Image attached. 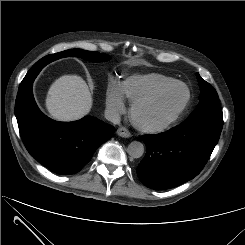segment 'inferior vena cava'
<instances>
[{"instance_id":"inferior-vena-cava-1","label":"inferior vena cava","mask_w":245,"mask_h":245,"mask_svg":"<svg viewBox=\"0 0 245 245\" xmlns=\"http://www.w3.org/2000/svg\"><path fill=\"white\" fill-rule=\"evenodd\" d=\"M105 118L112 122L113 124H119L120 123V114L118 111L114 109H106L105 110Z\"/></svg>"}]
</instances>
